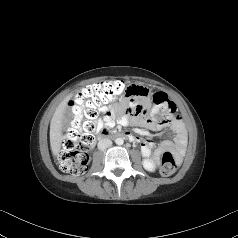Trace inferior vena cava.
<instances>
[{
	"label": "inferior vena cava",
	"instance_id": "1",
	"mask_svg": "<svg viewBox=\"0 0 238 238\" xmlns=\"http://www.w3.org/2000/svg\"><path fill=\"white\" fill-rule=\"evenodd\" d=\"M111 145H112V141L110 139H107V138L101 139L98 142V148L100 150H105V149L109 148Z\"/></svg>",
	"mask_w": 238,
	"mask_h": 238
}]
</instances>
